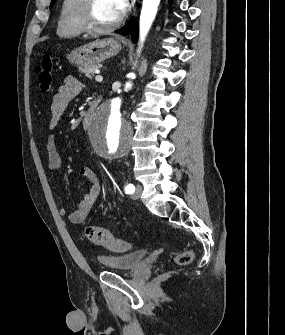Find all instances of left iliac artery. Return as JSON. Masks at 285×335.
<instances>
[{
    "label": "left iliac artery",
    "mask_w": 285,
    "mask_h": 335,
    "mask_svg": "<svg viewBox=\"0 0 285 335\" xmlns=\"http://www.w3.org/2000/svg\"><path fill=\"white\" fill-rule=\"evenodd\" d=\"M135 191V187L133 184H128L126 187H125V192L126 194H132L134 193Z\"/></svg>",
    "instance_id": "obj_1"
}]
</instances>
